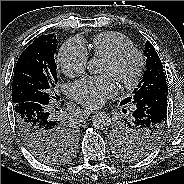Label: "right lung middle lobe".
I'll return each instance as SVG.
<instances>
[{
  "mask_svg": "<svg viewBox=\"0 0 184 184\" xmlns=\"http://www.w3.org/2000/svg\"><path fill=\"white\" fill-rule=\"evenodd\" d=\"M55 34L35 40L19 56L14 69L12 100L14 105L24 101L49 104L57 83ZM75 145V132L69 125L59 132L56 142L42 150L32 151L40 161L57 164L68 159Z\"/></svg>",
  "mask_w": 184,
  "mask_h": 184,
  "instance_id": "obj_1",
  "label": "right lung middle lobe"
}]
</instances>
